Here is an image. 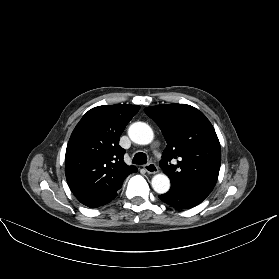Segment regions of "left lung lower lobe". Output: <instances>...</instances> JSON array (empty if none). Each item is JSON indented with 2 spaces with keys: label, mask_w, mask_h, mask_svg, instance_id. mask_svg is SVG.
<instances>
[{
  "label": "left lung lower lobe",
  "mask_w": 279,
  "mask_h": 279,
  "mask_svg": "<svg viewBox=\"0 0 279 279\" xmlns=\"http://www.w3.org/2000/svg\"><path fill=\"white\" fill-rule=\"evenodd\" d=\"M159 198L163 202L177 209L192 208L205 199L200 195L175 187H171L167 193L160 195Z\"/></svg>",
  "instance_id": "0a47b994"
}]
</instances>
